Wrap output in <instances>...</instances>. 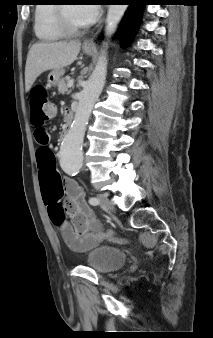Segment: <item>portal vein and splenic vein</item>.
Masks as SVG:
<instances>
[{
	"instance_id": "obj_1",
	"label": "portal vein and splenic vein",
	"mask_w": 213,
	"mask_h": 338,
	"mask_svg": "<svg viewBox=\"0 0 213 338\" xmlns=\"http://www.w3.org/2000/svg\"><path fill=\"white\" fill-rule=\"evenodd\" d=\"M73 84H74V80L73 79H71V80H69L68 81V87L70 88V87H72L73 86Z\"/></svg>"
}]
</instances>
